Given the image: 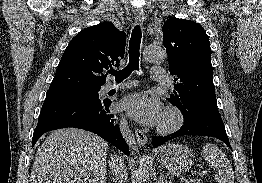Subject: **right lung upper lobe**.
<instances>
[{
    "mask_svg": "<svg viewBox=\"0 0 262 183\" xmlns=\"http://www.w3.org/2000/svg\"><path fill=\"white\" fill-rule=\"evenodd\" d=\"M126 34L104 22L79 32L68 44L47 92L100 88L103 74L119 66L124 57Z\"/></svg>",
    "mask_w": 262,
    "mask_h": 183,
    "instance_id": "1",
    "label": "right lung upper lobe"
}]
</instances>
